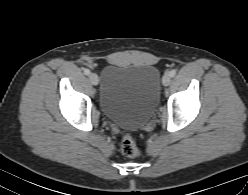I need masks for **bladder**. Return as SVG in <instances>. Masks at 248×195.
Here are the masks:
<instances>
[{"label":"bladder","mask_w":248,"mask_h":195,"mask_svg":"<svg viewBox=\"0 0 248 195\" xmlns=\"http://www.w3.org/2000/svg\"><path fill=\"white\" fill-rule=\"evenodd\" d=\"M160 82V73L155 66L110 65L101 76V109L121 128H140L157 107Z\"/></svg>","instance_id":"bladder-1"}]
</instances>
